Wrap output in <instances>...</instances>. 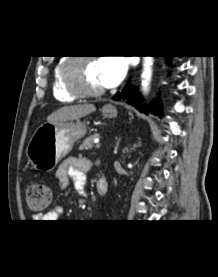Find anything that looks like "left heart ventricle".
Wrapping results in <instances>:
<instances>
[{"label": "left heart ventricle", "instance_id": "b2bd125f", "mask_svg": "<svg viewBox=\"0 0 218 277\" xmlns=\"http://www.w3.org/2000/svg\"><path fill=\"white\" fill-rule=\"evenodd\" d=\"M82 84L84 88L87 90L103 88L100 80L99 67L97 61H88L83 66Z\"/></svg>", "mask_w": 218, "mask_h": 277}]
</instances>
